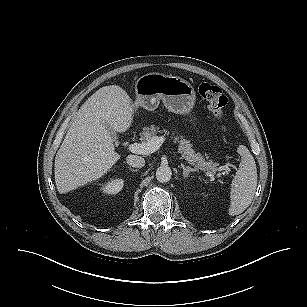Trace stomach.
<instances>
[{
  "label": "stomach",
  "mask_w": 307,
  "mask_h": 307,
  "mask_svg": "<svg viewBox=\"0 0 307 307\" xmlns=\"http://www.w3.org/2000/svg\"><path fill=\"white\" fill-rule=\"evenodd\" d=\"M135 94L136 99L132 103L134 112L139 107L153 111L161 100L168 111L189 115L196 100L195 90L188 81L154 72L141 76L135 82Z\"/></svg>",
  "instance_id": "0dacf381"
}]
</instances>
